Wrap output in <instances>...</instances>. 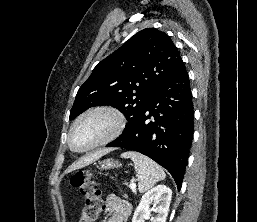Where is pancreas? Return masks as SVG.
Returning a JSON list of instances; mask_svg holds the SVG:
<instances>
[{"label":"pancreas","mask_w":257,"mask_h":222,"mask_svg":"<svg viewBox=\"0 0 257 222\" xmlns=\"http://www.w3.org/2000/svg\"><path fill=\"white\" fill-rule=\"evenodd\" d=\"M132 191H133L134 193H136V189H133Z\"/></svg>","instance_id":"cf45deb5"}]
</instances>
